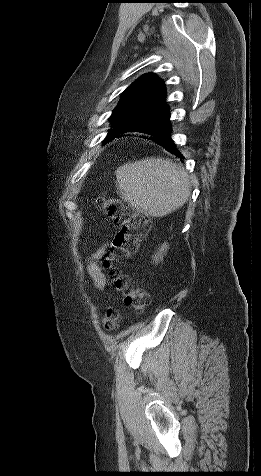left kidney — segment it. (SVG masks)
Masks as SVG:
<instances>
[{
    "label": "left kidney",
    "instance_id": "obj_1",
    "mask_svg": "<svg viewBox=\"0 0 261 476\" xmlns=\"http://www.w3.org/2000/svg\"><path fill=\"white\" fill-rule=\"evenodd\" d=\"M168 248H169V245L167 243H163L161 247L159 248V250L156 252V254L152 257L153 261H155V263H158L159 261H161L163 259V254L166 253Z\"/></svg>",
    "mask_w": 261,
    "mask_h": 476
}]
</instances>
